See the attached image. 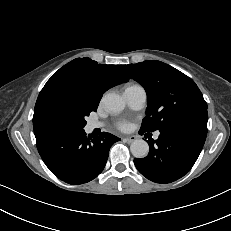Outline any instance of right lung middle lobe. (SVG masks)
Masks as SVG:
<instances>
[{
	"mask_svg": "<svg viewBox=\"0 0 231 231\" xmlns=\"http://www.w3.org/2000/svg\"><path fill=\"white\" fill-rule=\"evenodd\" d=\"M97 106L80 89L57 91L39 106L33 119L34 133L38 136H54L83 130L85 117Z\"/></svg>",
	"mask_w": 231,
	"mask_h": 231,
	"instance_id": "right-lung-middle-lobe-1",
	"label": "right lung middle lobe"
}]
</instances>
